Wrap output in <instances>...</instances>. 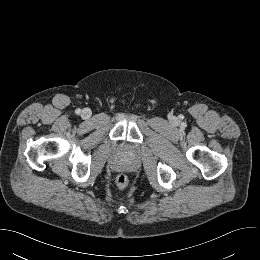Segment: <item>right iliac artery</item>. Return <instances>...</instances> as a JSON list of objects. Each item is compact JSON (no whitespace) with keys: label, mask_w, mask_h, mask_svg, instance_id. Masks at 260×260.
I'll return each instance as SVG.
<instances>
[{"label":"right iliac artery","mask_w":260,"mask_h":260,"mask_svg":"<svg viewBox=\"0 0 260 260\" xmlns=\"http://www.w3.org/2000/svg\"><path fill=\"white\" fill-rule=\"evenodd\" d=\"M75 113L79 115V114L81 113V109H79V108L76 109V110H75Z\"/></svg>","instance_id":"obj_1"}]
</instances>
